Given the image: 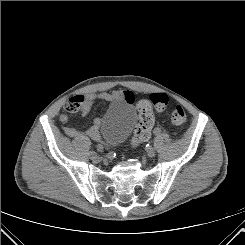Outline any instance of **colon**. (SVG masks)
<instances>
[{"mask_svg": "<svg viewBox=\"0 0 245 245\" xmlns=\"http://www.w3.org/2000/svg\"><path fill=\"white\" fill-rule=\"evenodd\" d=\"M81 98H72L65 107V111L69 114L76 113L82 105ZM168 103V97L163 93H154L148 100H142L138 104V123L136 125L132 144L134 147L147 141L151 137V131L154 126L153 107L157 110H163ZM66 118L63 117V120ZM186 121V113L184 109L177 105L171 114V123L174 125H182Z\"/></svg>", "mask_w": 245, "mask_h": 245, "instance_id": "obj_1", "label": "colon"}]
</instances>
